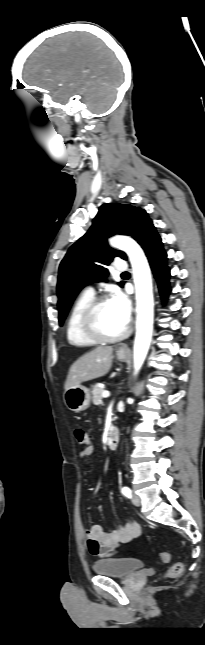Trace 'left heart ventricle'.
Listing matches in <instances>:
<instances>
[{"mask_svg": "<svg viewBox=\"0 0 205 645\" xmlns=\"http://www.w3.org/2000/svg\"><path fill=\"white\" fill-rule=\"evenodd\" d=\"M99 329L107 335H116L122 332L127 326L114 309L110 301L101 306L97 316Z\"/></svg>", "mask_w": 205, "mask_h": 645, "instance_id": "1", "label": "left heart ventricle"}]
</instances>
